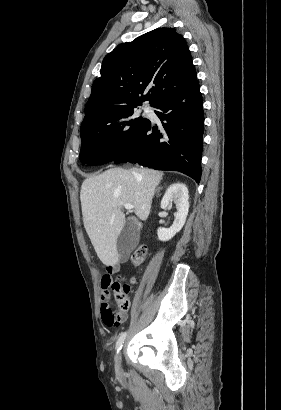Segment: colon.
Returning <instances> with one entry per match:
<instances>
[{"mask_svg":"<svg viewBox=\"0 0 281 410\" xmlns=\"http://www.w3.org/2000/svg\"><path fill=\"white\" fill-rule=\"evenodd\" d=\"M148 248L146 245H139L132 254L131 260L135 266L142 264L147 256ZM115 301L119 311L125 312L130 307L129 292L130 285L121 277L115 280L111 285ZM103 321L108 326H117L121 322V314L112 310L110 307L103 315Z\"/></svg>","mask_w":281,"mask_h":410,"instance_id":"colon-1","label":"colon"}]
</instances>
